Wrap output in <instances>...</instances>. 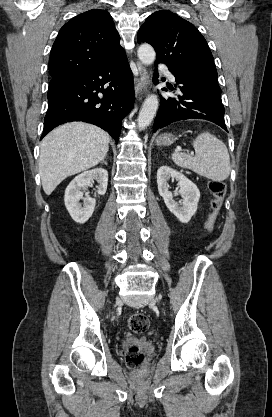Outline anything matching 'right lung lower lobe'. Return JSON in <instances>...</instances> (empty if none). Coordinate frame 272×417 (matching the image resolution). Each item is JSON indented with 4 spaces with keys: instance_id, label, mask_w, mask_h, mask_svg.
Here are the masks:
<instances>
[{
    "instance_id": "right-lung-lower-lobe-1",
    "label": "right lung lower lobe",
    "mask_w": 272,
    "mask_h": 417,
    "mask_svg": "<svg viewBox=\"0 0 272 417\" xmlns=\"http://www.w3.org/2000/svg\"><path fill=\"white\" fill-rule=\"evenodd\" d=\"M134 101L133 74L125 51L96 69L54 77L41 139L62 123L84 121L106 130L118 142L121 121Z\"/></svg>"
}]
</instances>
